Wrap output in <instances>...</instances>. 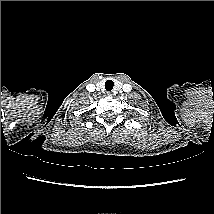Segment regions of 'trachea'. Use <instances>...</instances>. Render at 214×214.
Listing matches in <instances>:
<instances>
[{
  "instance_id": "trachea-1",
  "label": "trachea",
  "mask_w": 214,
  "mask_h": 214,
  "mask_svg": "<svg viewBox=\"0 0 214 214\" xmlns=\"http://www.w3.org/2000/svg\"><path fill=\"white\" fill-rule=\"evenodd\" d=\"M113 86H114V82L112 80H107L105 82V89L107 91H111L113 89Z\"/></svg>"
}]
</instances>
